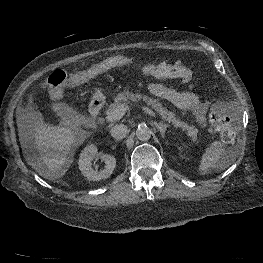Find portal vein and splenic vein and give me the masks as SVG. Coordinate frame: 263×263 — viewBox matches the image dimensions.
I'll return each instance as SVG.
<instances>
[{
  "instance_id": "obj_1",
  "label": "portal vein and splenic vein",
  "mask_w": 263,
  "mask_h": 263,
  "mask_svg": "<svg viewBox=\"0 0 263 263\" xmlns=\"http://www.w3.org/2000/svg\"><path fill=\"white\" fill-rule=\"evenodd\" d=\"M129 109V106L126 104H119L110 114H108L106 116V120L107 121H116L121 119L124 114L126 113V111ZM142 109L148 113L149 115L156 117L157 115L155 114V112H153L151 109L147 108V107H142Z\"/></svg>"
}]
</instances>
